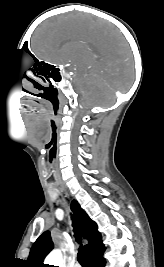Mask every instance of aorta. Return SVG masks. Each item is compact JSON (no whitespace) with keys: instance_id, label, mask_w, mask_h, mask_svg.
<instances>
[{"instance_id":"obj_1","label":"aorta","mask_w":164,"mask_h":267,"mask_svg":"<svg viewBox=\"0 0 164 267\" xmlns=\"http://www.w3.org/2000/svg\"><path fill=\"white\" fill-rule=\"evenodd\" d=\"M45 262L49 265L53 266H59L62 267L63 265V259H62V253L60 250H54L52 251L47 257Z\"/></svg>"}]
</instances>
